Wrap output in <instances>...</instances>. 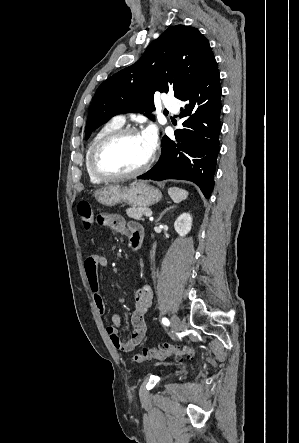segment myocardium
Listing matches in <instances>:
<instances>
[{
  "label": "myocardium",
  "mask_w": 299,
  "mask_h": 443,
  "mask_svg": "<svg viewBox=\"0 0 299 443\" xmlns=\"http://www.w3.org/2000/svg\"><path fill=\"white\" fill-rule=\"evenodd\" d=\"M129 134H141V132L136 127H131V126L120 127L104 135L92 148L90 154V168L94 176H96L101 181H120V180L133 178L141 175L150 167L154 158L153 153L149 154L146 161L141 166L128 172L109 173L100 167L98 163V157L100 152L110 143Z\"/></svg>",
  "instance_id": "obj_1"
}]
</instances>
